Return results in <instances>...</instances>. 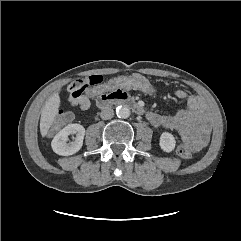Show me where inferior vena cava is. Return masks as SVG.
<instances>
[{"mask_svg":"<svg viewBox=\"0 0 241 241\" xmlns=\"http://www.w3.org/2000/svg\"><path fill=\"white\" fill-rule=\"evenodd\" d=\"M113 116L114 111L111 107L104 108L100 113V117L104 120L111 119Z\"/></svg>","mask_w":241,"mask_h":241,"instance_id":"1","label":"inferior vena cava"}]
</instances>
